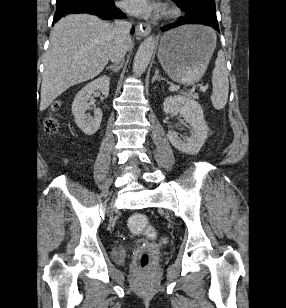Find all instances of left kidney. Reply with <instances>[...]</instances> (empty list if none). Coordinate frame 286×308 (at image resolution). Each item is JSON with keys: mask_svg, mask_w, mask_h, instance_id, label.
I'll list each match as a JSON object with an SVG mask.
<instances>
[{"mask_svg": "<svg viewBox=\"0 0 286 308\" xmlns=\"http://www.w3.org/2000/svg\"><path fill=\"white\" fill-rule=\"evenodd\" d=\"M163 111L165 114L180 113L191 127L190 137H184L183 139L178 136L176 131H169L167 137L170 143L183 153L197 154L208 134V126L204 120L200 104L188 97L175 95L164 100Z\"/></svg>", "mask_w": 286, "mask_h": 308, "instance_id": "left-kidney-1", "label": "left kidney"}]
</instances>
